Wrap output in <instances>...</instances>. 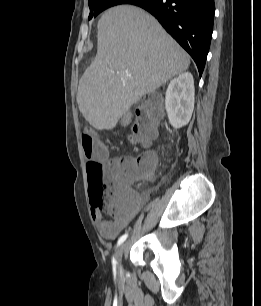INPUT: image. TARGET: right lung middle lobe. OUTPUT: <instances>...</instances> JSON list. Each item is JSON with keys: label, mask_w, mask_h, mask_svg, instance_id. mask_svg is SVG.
I'll use <instances>...</instances> for the list:
<instances>
[{"label": "right lung middle lobe", "mask_w": 261, "mask_h": 306, "mask_svg": "<svg viewBox=\"0 0 261 306\" xmlns=\"http://www.w3.org/2000/svg\"><path fill=\"white\" fill-rule=\"evenodd\" d=\"M135 0H89L88 5L90 8L89 20L92 17H96L99 13L105 9L118 4L132 3Z\"/></svg>", "instance_id": "obj_1"}]
</instances>
